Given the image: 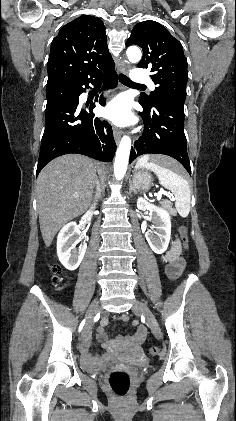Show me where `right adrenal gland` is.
Returning a JSON list of instances; mask_svg holds the SVG:
<instances>
[{"instance_id":"obj_1","label":"right adrenal gland","mask_w":236,"mask_h":421,"mask_svg":"<svg viewBox=\"0 0 236 421\" xmlns=\"http://www.w3.org/2000/svg\"><path fill=\"white\" fill-rule=\"evenodd\" d=\"M98 196H99V198H101V196H102V194H101V188H100V186H99V192H98Z\"/></svg>"}]
</instances>
